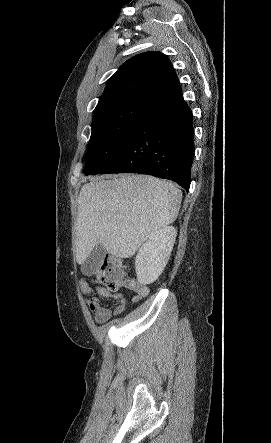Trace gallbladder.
I'll return each mask as SVG.
<instances>
[{"label": "gallbladder", "mask_w": 271, "mask_h": 443, "mask_svg": "<svg viewBox=\"0 0 271 443\" xmlns=\"http://www.w3.org/2000/svg\"><path fill=\"white\" fill-rule=\"evenodd\" d=\"M106 253L105 247L98 243L96 247H94L93 251H91L89 257H87L86 261H83L81 265V271L84 275L91 276L92 273L100 272V265L98 264L100 259H103ZM93 259H95L96 263H93Z\"/></svg>", "instance_id": "bac80fb5"}]
</instances>
